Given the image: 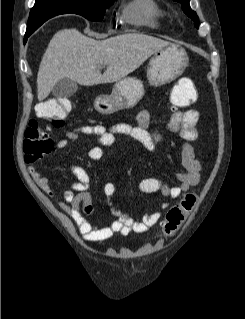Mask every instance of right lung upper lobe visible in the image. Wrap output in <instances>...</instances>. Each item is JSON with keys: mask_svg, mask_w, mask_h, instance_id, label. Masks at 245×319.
Returning <instances> with one entry per match:
<instances>
[{"mask_svg": "<svg viewBox=\"0 0 245 319\" xmlns=\"http://www.w3.org/2000/svg\"><path fill=\"white\" fill-rule=\"evenodd\" d=\"M70 0H36L34 7L32 8L28 20L27 30L28 33H33L41 24H43L49 18L63 14L65 11L62 2ZM36 18L35 23L30 21Z\"/></svg>", "mask_w": 245, "mask_h": 319, "instance_id": "obj_1", "label": "right lung upper lobe"}]
</instances>
